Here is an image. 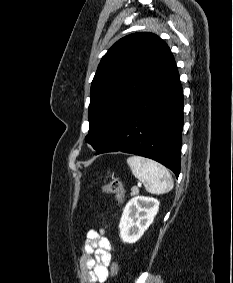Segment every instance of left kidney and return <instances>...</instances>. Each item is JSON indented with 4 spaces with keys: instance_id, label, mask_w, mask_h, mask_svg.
Wrapping results in <instances>:
<instances>
[{
    "instance_id": "left-kidney-1",
    "label": "left kidney",
    "mask_w": 233,
    "mask_h": 283,
    "mask_svg": "<svg viewBox=\"0 0 233 283\" xmlns=\"http://www.w3.org/2000/svg\"><path fill=\"white\" fill-rule=\"evenodd\" d=\"M159 201L144 196L132 198L125 206L119 223L123 242L135 243L153 223L159 210Z\"/></svg>"
}]
</instances>
